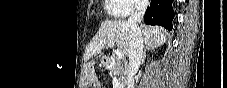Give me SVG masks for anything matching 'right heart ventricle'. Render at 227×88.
<instances>
[{"label": "right heart ventricle", "mask_w": 227, "mask_h": 88, "mask_svg": "<svg viewBox=\"0 0 227 88\" xmlns=\"http://www.w3.org/2000/svg\"><path fill=\"white\" fill-rule=\"evenodd\" d=\"M126 9L127 5L124 0H105V10L115 19L124 18Z\"/></svg>", "instance_id": "e07e8e85"}]
</instances>
